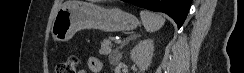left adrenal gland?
<instances>
[{
  "label": "left adrenal gland",
  "instance_id": "obj_1",
  "mask_svg": "<svg viewBox=\"0 0 244 73\" xmlns=\"http://www.w3.org/2000/svg\"><path fill=\"white\" fill-rule=\"evenodd\" d=\"M137 37H140V35L139 34H133V35H131L129 38H127L126 40H124L122 42V44L120 45L119 49H122L125 45H127L129 43L130 40H134Z\"/></svg>",
  "mask_w": 244,
  "mask_h": 73
}]
</instances>
